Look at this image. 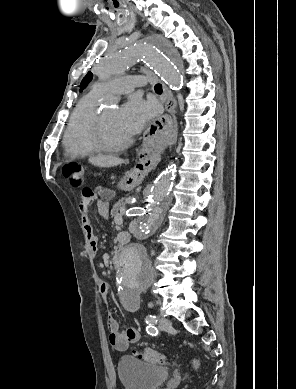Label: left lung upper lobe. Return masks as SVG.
<instances>
[{"label":"left lung upper lobe","mask_w":296,"mask_h":389,"mask_svg":"<svg viewBox=\"0 0 296 389\" xmlns=\"http://www.w3.org/2000/svg\"><path fill=\"white\" fill-rule=\"evenodd\" d=\"M92 77H93L92 73L88 72L80 84V91H82V89H84L88 85Z\"/></svg>","instance_id":"5c2ea615"}]
</instances>
